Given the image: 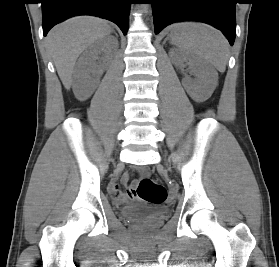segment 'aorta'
<instances>
[{
	"mask_svg": "<svg viewBox=\"0 0 279 267\" xmlns=\"http://www.w3.org/2000/svg\"><path fill=\"white\" fill-rule=\"evenodd\" d=\"M141 8H142V10H143L144 12H147L148 9H149V4H148V3H142Z\"/></svg>",
	"mask_w": 279,
	"mask_h": 267,
	"instance_id": "762f6f07",
	"label": "aorta"
}]
</instances>
